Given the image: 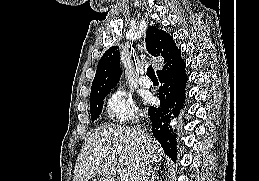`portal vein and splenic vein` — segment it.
<instances>
[{
	"label": "portal vein and splenic vein",
	"instance_id": "obj_1",
	"mask_svg": "<svg viewBox=\"0 0 259 181\" xmlns=\"http://www.w3.org/2000/svg\"><path fill=\"white\" fill-rule=\"evenodd\" d=\"M129 175H130V173L128 170H126V169L122 170L120 173L121 181H129Z\"/></svg>",
	"mask_w": 259,
	"mask_h": 181
}]
</instances>
